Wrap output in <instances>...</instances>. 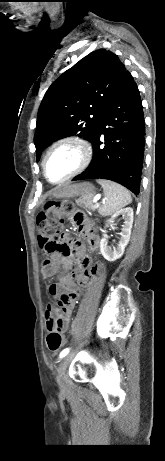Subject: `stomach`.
Returning a JSON list of instances; mask_svg holds the SVG:
<instances>
[{"instance_id":"stomach-1","label":"stomach","mask_w":165,"mask_h":461,"mask_svg":"<svg viewBox=\"0 0 165 461\" xmlns=\"http://www.w3.org/2000/svg\"><path fill=\"white\" fill-rule=\"evenodd\" d=\"M95 187L89 182L76 184H67L54 191L53 195L56 198H71L74 196L93 197Z\"/></svg>"}]
</instances>
